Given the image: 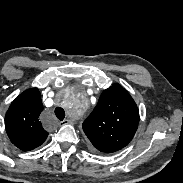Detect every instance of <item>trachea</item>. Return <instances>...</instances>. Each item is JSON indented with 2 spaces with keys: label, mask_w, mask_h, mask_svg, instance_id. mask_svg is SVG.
Listing matches in <instances>:
<instances>
[{
  "label": "trachea",
  "mask_w": 183,
  "mask_h": 183,
  "mask_svg": "<svg viewBox=\"0 0 183 183\" xmlns=\"http://www.w3.org/2000/svg\"><path fill=\"white\" fill-rule=\"evenodd\" d=\"M55 115H56V117H57L60 121H62V120L65 118V111H64V109L61 108V107H57V108L55 109Z\"/></svg>",
  "instance_id": "3493384b"
}]
</instances>
